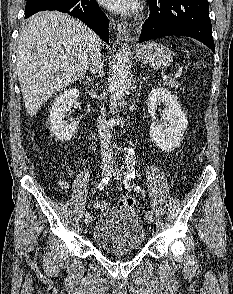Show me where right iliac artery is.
I'll list each match as a JSON object with an SVG mask.
<instances>
[{
  "instance_id": "1",
  "label": "right iliac artery",
  "mask_w": 233,
  "mask_h": 294,
  "mask_svg": "<svg viewBox=\"0 0 233 294\" xmlns=\"http://www.w3.org/2000/svg\"><path fill=\"white\" fill-rule=\"evenodd\" d=\"M109 180H110V177H105V178H103V179L98 183V185H97V189H98V190H103V189L107 186ZM89 216H90V213H89V212H86V213H85V217H89Z\"/></svg>"
}]
</instances>
